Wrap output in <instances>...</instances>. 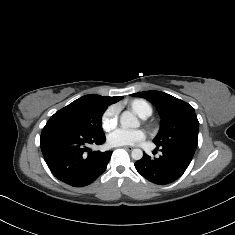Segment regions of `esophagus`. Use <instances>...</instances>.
<instances>
[{"label":"esophagus","mask_w":235,"mask_h":235,"mask_svg":"<svg viewBox=\"0 0 235 235\" xmlns=\"http://www.w3.org/2000/svg\"><path fill=\"white\" fill-rule=\"evenodd\" d=\"M122 148L128 150V151H131L133 150V147L132 146H122Z\"/></svg>","instance_id":"1"}]
</instances>
